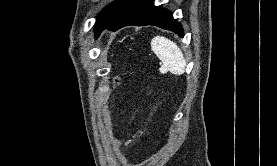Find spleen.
<instances>
[{
    "label": "spleen",
    "mask_w": 277,
    "mask_h": 166,
    "mask_svg": "<svg viewBox=\"0 0 277 166\" xmlns=\"http://www.w3.org/2000/svg\"><path fill=\"white\" fill-rule=\"evenodd\" d=\"M151 49L172 74L184 73L186 60L176 43L165 37L157 36L151 41Z\"/></svg>",
    "instance_id": "obj_1"
}]
</instances>
